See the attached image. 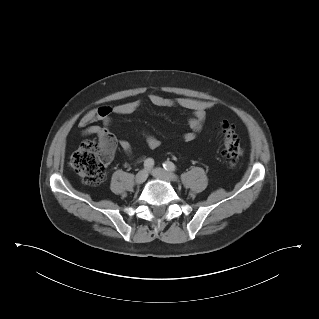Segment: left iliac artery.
Returning <instances> with one entry per match:
<instances>
[{"mask_svg":"<svg viewBox=\"0 0 319 319\" xmlns=\"http://www.w3.org/2000/svg\"><path fill=\"white\" fill-rule=\"evenodd\" d=\"M163 167L167 171H175L176 170V166L174 165V163H172L170 161H166L165 163H163Z\"/></svg>","mask_w":319,"mask_h":319,"instance_id":"obj_1","label":"left iliac artery"}]
</instances>
